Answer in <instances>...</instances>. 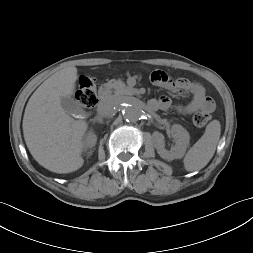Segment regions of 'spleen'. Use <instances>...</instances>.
<instances>
[{
	"instance_id": "spleen-1",
	"label": "spleen",
	"mask_w": 253,
	"mask_h": 253,
	"mask_svg": "<svg viewBox=\"0 0 253 253\" xmlns=\"http://www.w3.org/2000/svg\"><path fill=\"white\" fill-rule=\"evenodd\" d=\"M221 135V125L218 120L211 121L203 136L190 148L184 158L187 171H197L204 168L212 159Z\"/></svg>"
}]
</instances>
